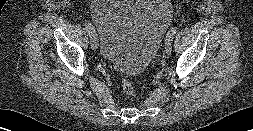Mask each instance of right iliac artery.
I'll return each mask as SVG.
<instances>
[{"label":"right iliac artery","instance_id":"obj_1","mask_svg":"<svg viewBox=\"0 0 253 131\" xmlns=\"http://www.w3.org/2000/svg\"><path fill=\"white\" fill-rule=\"evenodd\" d=\"M84 26H85L86 30L89 31V34H90L93 30L91 23H89L88 21H85Z\"/></svg>","mask_w":253,"mask_h":131}]
</instances>
